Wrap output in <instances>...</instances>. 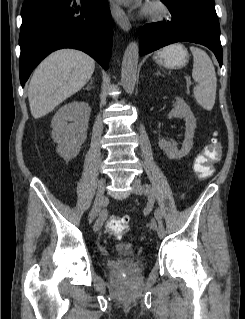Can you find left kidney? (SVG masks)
<instances>
[{"mask_svg": "<svg viewBox=\"0 0 245 319\" xmlns=\"http://www.w3.org/2000/svg\"><path fill=\"white\" fill-rule=\"evenodd\" d=\"M168 116L170 118H184L186 126L185 139L183 141L181 150H178L176 143L168 141L166 139H161L159 141V144L166 153L168 158L181 159L190 152L193 146V137L196 128V118L193 112L191 111L190 107L185 103L184 99L181 97H176V105L171 110Z\"/></svg>", "mask_w": 245, "mask_h": 319, "instance_id": "5707ae66", "label": "left kidney"}]
</instances>
